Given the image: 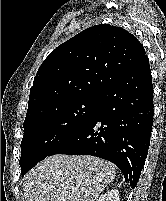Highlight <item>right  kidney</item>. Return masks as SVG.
I'll use <instances>...</instances> for the list:
<instances>
[{"label": "right kidney", "instance_id": "obj_1", "mask_svg": "<svg viewBox=\"0 0 166 201\" xmlns=\"http://www.w3.org/2000/svg\"><path fill=\"white\" fill-rule=\"evenodd\" d=\"M97 201H120L119 192L116 189L108 190L107 192L101 194Z\"/></svg>", "mask_w": 166, "mask_h": 201}]
</instances>
